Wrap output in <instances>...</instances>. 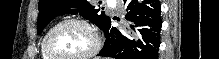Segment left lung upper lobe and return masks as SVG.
<instances>
[{
  "label": "left lung upper lobe",
  "instance_id": "5c2ea615",
  "mask_svg": "<svg viewBox=\"0 0 219 59\" xmlns=\"http://www.w3.org/2000/svg\"><path fill=\"white\" fill-rule=\"evenodd\" d=\"M99 11L88 0H39L38 34L53 18L62 14L79 13L102 29L110 17Z\"/></svg>",
  "mask_w": 219,
  "mask_h": 59
}]
</instances>
